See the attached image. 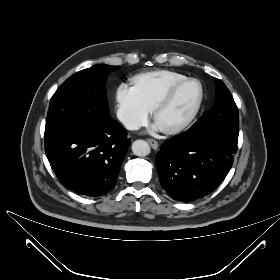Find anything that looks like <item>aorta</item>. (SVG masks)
<instances>
[{"mask_svg": "<svg viewBox=\"0 0 280 280\" xmlns=\"http://www.w3.org/2000/svg\"><path fill=\"white\" fill-rule=\"evenodd\" d=\"M132 152L136 156L144 157L150 154V146L144 140H136L132 144Z\"/></svg>", "mask_w": 280, "mask_h": 280, "instance_id": "obj_1", "label": "aorta"}]
</instances>
